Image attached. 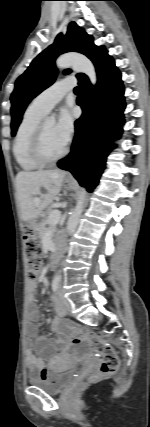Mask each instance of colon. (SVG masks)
Listing matches in <instances>:
<instances>
[{"label": "colon", "mask_w": 150, "mask_h": 427, "mask_svg": "<svg viewBox=\"0 0 150 427\" xmlns=\"http://www.w3.org/2000/svg\"><path fill=\"white\" fill-rule=\"evenodd\" d=\"M23 241L26 250V272L31 280L38 277L42 263V249L34 231L27 227L24 232ZM67 331L71 332L76 342L85 343L90 350L100 359L99 370L91 375L89 382L98 380L104 376L114 375L119 369V357L104 338L87 334L81 327L68 323Z\"/></svg>", "instance_id": "obj_1"}]
</instances>
